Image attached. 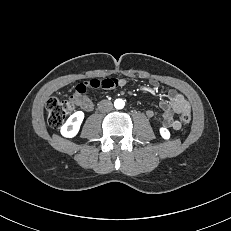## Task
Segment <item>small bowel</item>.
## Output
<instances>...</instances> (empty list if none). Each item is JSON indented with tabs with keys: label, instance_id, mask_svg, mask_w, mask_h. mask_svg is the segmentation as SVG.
<instances>
[{
	"label": "small bowel",
	"instance_id": "1",
	"mask_svg": "<svg viewBox=\"0 0 231 231\" xmlns=\"http://www.w3.org/2000/svg\"><path fill=\"white\" fill-rule=\"evenodd\" d=\"M125 85L126 81L124 79H92L76 86L72 100L83 110L90 111L93 108V101L87 95V91L89 89H113L115 87H123ZM151 86L157 87L158 82L156 80H152ZM160 106L163 109V113L157 118L158 122L175 130H179L181 128V122L175 118V114L190 113L189 102L176 90H170L168 92V101H162ZM145 114L149 118H153L155 115L152 110L146 111Z\"/></svg>",
	"mask_w": 231,
	"mask_h": 231
}]
</instances>
